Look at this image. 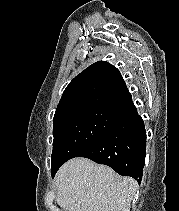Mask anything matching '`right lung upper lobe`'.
Segmentation results:
<instances>
[{
  "label": "right lung upper lobe",
  "mask_w": 179,
  "mask_h": 211,
  "mask_svg": "<svg viewBox=\"0 0 179 211\" xmlns=\"http://www.w3.org/2000/svg\"><path fill=\"white\" fill-rule=\"evenodd\" d=\"M132 101L117 68L99 61L78 74L66 87L54 120L85 110L121 112Z\"/></svg>",
  "instance_id": "cb5924a9"
}]
</instances>
